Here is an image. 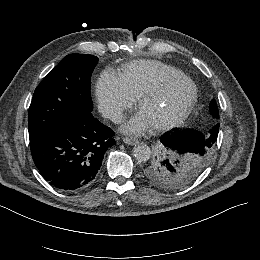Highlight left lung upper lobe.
I'll list each match as a JSON object with an SVG mask.
<instances>
[{
    "mask_svg": "<svg viewBox=\"0 0 260 260\" xmlns=\"http://www.w3.org/2000/svg\"><path fill=\"white\" fill-rule=\"evenodd\" d=\"M210 114L214 119L219 118L215 99L210 103ZM208 132L204 131L205 134ZM211 158L212 148L201 154L179 155L170 151L160 140L142 172L154 185L167 190H178L192 184L208 166Z\"/></svg>",
    "mask_w": 260,
    "mask_h": 260,
    "instance_id": "obj_1",
    "label": "left lung upper lobe"
}]
</instances>
